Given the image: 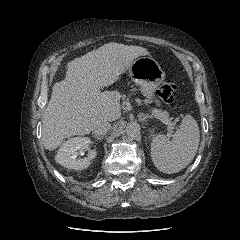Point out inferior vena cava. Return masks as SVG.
<instances>
[{
	"label": "inferior vena cava",
	"mask_w": 240,
	"mask_h": 240,
	"mask_svg": "<svg viewBox=\"0 0 240 240\" xmlns=\"http://www.w3.org/2000/svg\"><path fill=\"white\" fill-rule=\"evenodd\" d=\"M110 127L111 124L108 121H99L94 125L92 132L97 136L104 135L110 130Z\"/></svg>",
	"instance_id": "602c4592"
}]
</instances>
